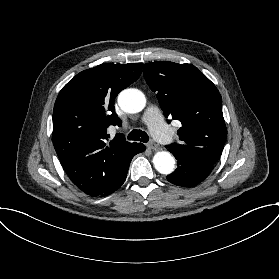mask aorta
<instances>
[{
    "label": "aorta",
    "instance_id": "1",
    "mask_svg": "<svg viewBox=\"0 0 279 279\" xmlns=\"http://www.w3.org/2000/svg\"><path fill=\"white\" fill-rule=\"evenodd\" d=\"M118 104L126 113H137L146 105L145 95L138 89L129 88L120 92ZM155 169L161 174H171L175 169V159L167 151L157 152L153 157Z\"/></svg>",
    "mask_w": 279,
    "mask_h": 279
}]
</instances>
